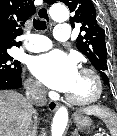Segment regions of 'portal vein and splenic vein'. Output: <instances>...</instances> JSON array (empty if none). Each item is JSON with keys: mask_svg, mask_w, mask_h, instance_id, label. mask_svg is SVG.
<instances>
[{"mask_svg": "<svg viewBox=\"0 0 117 136\" xmlns=\"http://www.w3.org/2000/svg\"><path fill=\"white\" fill-rule=\"evenodd\" d=\"M95 136H103L101 132H98Z\"/></svg>", "mask_w": 117, "mask_h": 136, "instance_id": "obj_1", "label": "portal vein and splenic vein"}]
</instances>
